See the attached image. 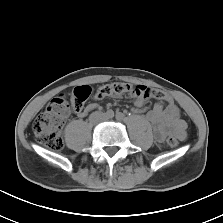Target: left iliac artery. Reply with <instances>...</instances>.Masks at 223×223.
<instances>
[{"instance_id": "44dca946", "label": "left iliac artery", "mask_w": 223, "mask_h": 223, "mask_svg": "<svg viewBox=\"0 0 223 223\" xmlns=\"http://www.w3.org/2000/svg\"><path fill=\"white\" fill-rule=\"evenodd\" d=\"M116 119L117 120H122V119H124V115L122 113H117L116 114Z\"/></svg>"}]
</instances>
